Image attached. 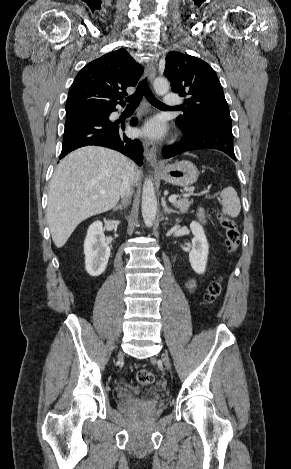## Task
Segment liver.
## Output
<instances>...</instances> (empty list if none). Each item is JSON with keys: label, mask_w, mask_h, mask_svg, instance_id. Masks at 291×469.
Masks as SVG:
<instances>
[{"label": "liver", "mask_w": 291, "mask_h": 469, "mask_svg": "<svg viewBox=\"0 0 291 469\" xmlns=\"http://www.w3.org/2000/svg\"><path fill=\"white\" fill-rule=\"evenodd\" d=\"M128 163L121 153L98 146L77 149L59 163L50 182L47 206L57 248L65 245L82 221L115 207ZM140 174L135 168V183Z\"/></svg>", "instance_id": "liver-1"}]
</instances>
